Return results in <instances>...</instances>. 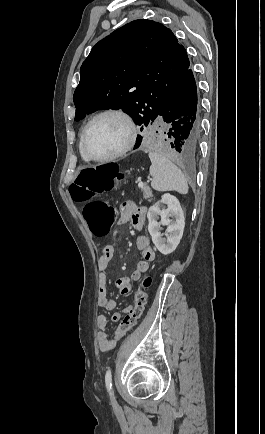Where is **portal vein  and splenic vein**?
<instances>
[{
  "mask_svg": "<svg viewBox=\"0 0 265 434\" xmlns=\"http://www.w3.org/2000/svg\"><path fill=\"white\" fill-rule=\"evenodd\" d=\"M138 188H143V182H139Z\"/></svg>",
  "mask_w": 265,
  "mask_h": 434,
  "instance_id": "obj_1",
  "label": "portal vein and splenic vein"
}]
</instances>
